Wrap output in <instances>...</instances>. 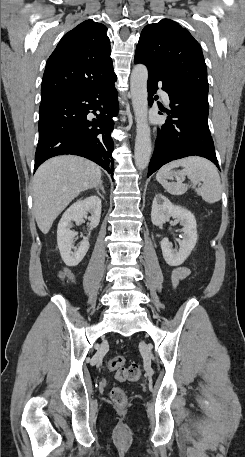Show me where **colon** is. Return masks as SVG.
Returning <instances> with one entry per match:
<instances>
[{
  "label": "colon",
  "instance_id": "1",
  "mask_svg": "<svg viewBox=\"0 0 245 457\" xmlns=\"http://www.w3.org/2000/svg\"><path fill=\"white\" fill-rule=\"evenodd\" d=\"M108 366L115 371V378L118 381H136L141 376V368L138 364L125 366V358L121 355L113 357ZM110 398L117 407H124L127 403V395L121 387H114L111 390Z\"/></svg>",
  "mask_w": 245,
  "mask_h": 457
}]
</instances>
